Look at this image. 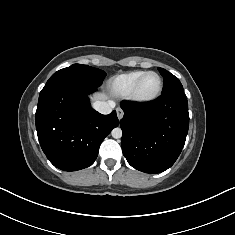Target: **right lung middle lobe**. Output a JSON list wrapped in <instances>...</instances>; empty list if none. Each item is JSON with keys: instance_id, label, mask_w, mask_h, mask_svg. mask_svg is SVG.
<instances>
[{"instance_id": "1", "label": "right lung middle lobe", "mask_w": 235, "mask_h": 235, "mask_svg": "<svg viewBox=\"0 0 235 235\" xmlns=\"http://www.w3.org/2000/svg\"><path fill=\"white\" fill-rule=\"evenodd\" d=\"M106 73L100 69L88 65L73 64L54 73L46 84L56 81H80L93 87H99Z\"/></svg>"}]
</instances>
